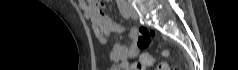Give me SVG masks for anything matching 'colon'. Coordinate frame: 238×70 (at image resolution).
<instances>
[{
  "mask_svg": "<svg viewBox=\"0 0 238 70\" xmlns=\"http://www.w3.org/2000/svg\"><path fill=\"white\" fill-rule=\"evenodd\" d=\"M92 2L98 3L99 1L93 0ZM137 34H138V41H137L138 48L140 50L146 49L150 44L151 38L154 36V32L146 27H141L137 30ZM165 54L168 53L165 52ZM147 56L148 57L141 60L140 63L135 65L134 67L135 70H144L148 65L152 63L150 56L149 55ZM157 66L158 70H171V67H169L170 66L169 63H158Z\"/></svg>",
  "mask_w": 238,
  "mask_h": 70,
  "instance_id": "colon-1",
  "label": "colon"
}]
</instances>
